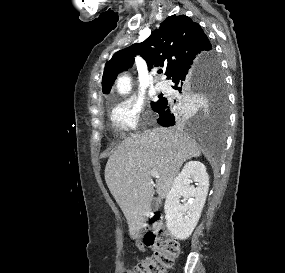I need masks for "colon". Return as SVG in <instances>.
Here are the masks:
<instances>
[{"label": "colon", "mask_w": 285, "mask_h": 273, "mask_svg": "<svg viewBox=\"0 0 285 273\" xmlns=\"http://www.w3.org/2000/svg\"><path fill=\"white\" fill-rule=\"evenodd\" d=\"M137 246L140 249L150 247L153 253L136 266L134 273H166L180 252L179 242L169 233L161 218L151 219Z\"/></svg>", "instance_id": "colon-1"}]
</instances>
